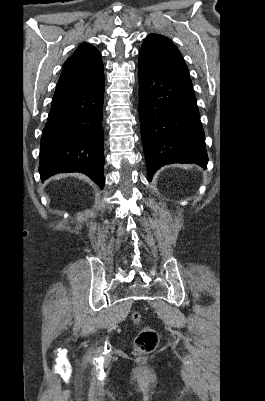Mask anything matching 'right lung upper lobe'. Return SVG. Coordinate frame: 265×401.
Here are the masks:
<instances>
[{
  "label": "right lung upper lobe",
  "mask_w": 265,
  "mask_h": 401,
  "mask_svg": "<svg viewBox=\"0 0 265 401\" xmlns=\"http://www.w3.org/2000/svg\"><path fill=\"white\" fill-rule=\"evenodd\" d=\"M104 80L100 52L84 43L64 63L53 99L93 90Z\"/></svg>",
  "instance_id": "obj_1"
}]
</instances>
